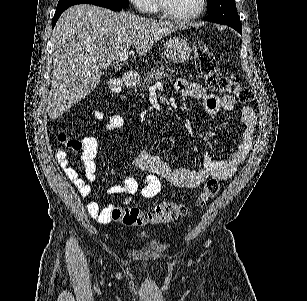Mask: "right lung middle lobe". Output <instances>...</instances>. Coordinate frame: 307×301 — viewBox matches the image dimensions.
I'll use <instances>...</instances> for the list:
<instances>
[{
  "label": "right lung middle lobe",
  "mask_w": 307,
  "mask_h": 301,
  "mask_svg": "<svg viewBox=\"0 0 307 301\" xmlns=\"http://www.w3.org/2000/svg\"><path fill=\"white\" fill-rule=\"evenodd\" d=\"M83 3H104V4H114L120 7H128L129 3L128 0H59L57 4L56 10L64 9L71 7L76 4H83Z\"/></svg>",
  "instance_id": "right-lung-middle-lobe-1"
}]
</instances>
